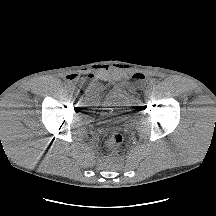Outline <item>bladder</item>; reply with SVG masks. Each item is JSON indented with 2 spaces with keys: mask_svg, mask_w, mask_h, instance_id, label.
Returning <instances> with one entry per match:
<instances>
[{
  "mask_svg": "<svg viewBox=\"0 0 216 216\" xmlns=\"http://www.w3.org/2000/svg\"><path fill=\"white\" fill-rule=\"evenodd\" d=\"M90 116L97 120L113 123L132 116L135 110L133 99L113 84L88 90L83 95Z\"/></svg>",
  "mask_w": 216,
  "mask_h": 216,
  "instance_id": "bladder-1",
  "label": "bladder"
}]
</instances>
